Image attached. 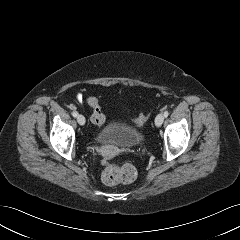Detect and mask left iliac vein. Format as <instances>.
I'll list each match as a JSON object with an SVG mask.
<instances>
[{"label":"left iliac vein","instance_id":"1","mask_svg":"<svg viewBox=\"0 0 240 240\" xmlns=\"http://www.w3.org/2000/svg\"><path fill=\"white\" fill-rule=\"evenodd\" d=\"M164 121V115L162 113H159L155 118V125L157 127H160Z\"/></svg>","mask_w":240,"mask_h":240}]
</instances>
